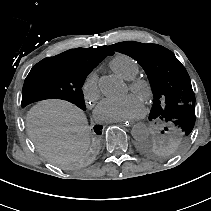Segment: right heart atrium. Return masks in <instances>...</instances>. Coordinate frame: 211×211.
I'll use <instances>...</instances> for the list:
<instances>
[{
    "mask_svg": "<svg viewBox=\"0 0 211 211\" xmlns=\"http://www.w3.org/2000/svg\"><path fill=\"white\" fill-rule=\"evenodd\" d=\"M102 91L97 72H90L82 84V95L87 104L96 103L101 97Z\"/></svg>",
    "mask_w": 211,
    "mask_h": 211,
    "instance_id": "obj_1",
    "label": "right heart atrium"
}]
</instances>
